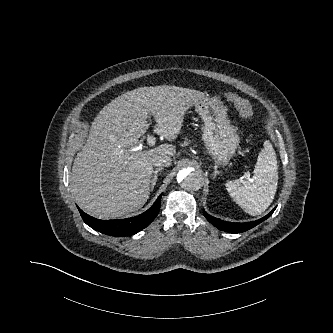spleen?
<instances>
[{
	"mask_svg": "<svg viewBox=\"0 0 333 333\" xmlns=\"http://www.w3.org/2000/svg\"><path fill=\"white\" fill-rule=\"evenodd\" d=\"M275 150L269 141L259 153L254 168V183L238 179L228 181L226 189L236 203L250 215L263 213L273 202L278 184Z\"/></svg>",
	"mask_w": 333,
	"mask_h": 333,
	"instance_id": "3e777b00",
	"label": "spleen"
}]
</instances>
